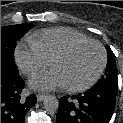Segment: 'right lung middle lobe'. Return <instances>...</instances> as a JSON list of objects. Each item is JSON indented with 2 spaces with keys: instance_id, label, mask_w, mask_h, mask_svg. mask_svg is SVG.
Returning a JSON list of instances; mask_svg holds the SVG:
<instances>
[{
  "instance_id": "right-lung-middle-lobe-1",
  "label": "right lung middle lobe",
  "mask_w": 123,
  "mask_h": 123,
  "mask_svg": "<svg viewBox=\"0 0 123 123\" xmlns=\"http://www.w3.org/2000/svg\"><path fill=\"white\" fill-rule=\"evenodd\" d=\"M31 28L30 23L1 27V67L18 73L13 62L15 44Z\"/></svg>"
}]
</instances>
